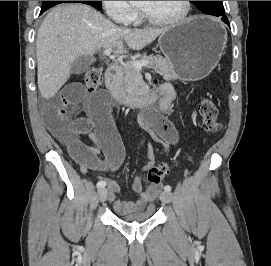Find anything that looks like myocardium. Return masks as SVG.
Masks as SVG:
<instances>
[{
	"label": "myocardium",
	"mask_w": 271,
	"mask_h": 266,
	"mask_svg": "<svg viewBox=\"0 0 271 266\" xmlns=\"http://www.w3.org/2000/svg\"><path fill=\"white\" fill-rule=\"evenodd\" d=\"M183 5H184V9L182 13L177 17L169 18V19L155 18L141 7H140V13H141L142 18L151 24L159 25V26H172V25H177L184 22L189 17L191 13V1H183Z\"/></svg>",
	"instance_id": "1"
}]
</instances>
